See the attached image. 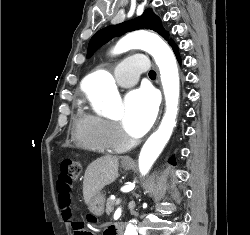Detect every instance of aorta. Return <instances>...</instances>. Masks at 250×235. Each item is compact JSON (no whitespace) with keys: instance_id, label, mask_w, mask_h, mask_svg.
<instances>
[{"instance_id":"762f6f07","label":"aorta","mask_w":250,"mask_h":235,"mask_svg":"<svg viewBox=\"0 0 250 235\" xmlns=\"http://www.w3.org/2000/svg\"><path fill=\"white\" fill-rule=\"evenodd\" d=\"M130 49H142L154 57L160 70L166 101V112L161 124L145 142L139 155V169L145 175L169 141L176 124L179 74L172 50L159 36L146 31H135L120 40L111 53L116 55ZM84 90L93 104L107 102L110 115L120 113V96L114 78L109 72L100 70L89 76ZM133 222L127 225L124 235H138L137 226Z\"/></svg>"}]
</instances>
